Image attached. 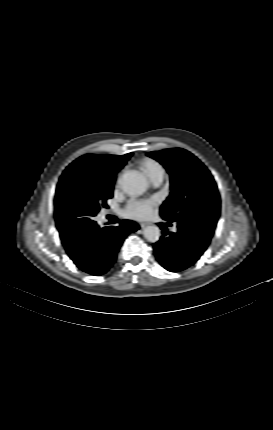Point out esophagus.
<instances>
[{"mask_svg":"<svg viewBox=\"0 0 273 430\" xmlns=\"http://www.w3.org/2000/svg\"><path fill=\"white\" fill-rule=\"evenodd\" d=\"M151 223H149V222H142V223H140V227L141 228H145L146 226H148V225H150Z\"/></svg>","mask_w":273,"mask_h":430,"instance_id":"1","label":"esophagus"}]
</instances>
